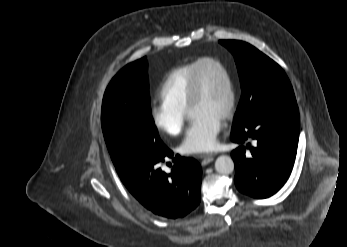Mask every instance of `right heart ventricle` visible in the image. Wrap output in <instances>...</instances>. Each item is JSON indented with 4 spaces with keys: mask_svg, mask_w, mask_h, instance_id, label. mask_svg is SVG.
<instances>
[{
    "mask_svg": "<svg viewBox=\"0 0 347 247\" xmlns=\"http://www.w3.org/2000/svg\"><path fill=\"white\" fill-rule=\"evenodd\" d=\"M197 61L176 67L167 74L159 90L162 103L187 111L189 83Z\"/></svg>",
    "mask_w": 347,
    "mask_h": 247,
    "instance_id": "e07e8e85",
    "label": "right heart ventricle"
}]
</instances>
